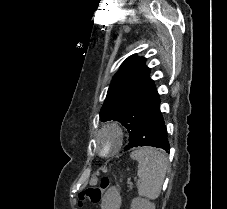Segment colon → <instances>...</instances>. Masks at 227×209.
Returning a JSON list of instances; mask_svg holds the SVG:
<instances>
[{"label":"colon","instance_id":"obj_1","mask_svg":"<svg viewBox=\"0 0 227 209\" xmlns=\"http://www.w3.org/2000/svg\"><path fill=\"white\" fill-rule=\"evenodd\" d=\"M109 185H110V180L104 179L102 180L100 186L90 187L80 192L78 195L79 204H82L85 202H90L92 204L99 203L102 198L103 191L108 189Z\"/></svg>","mask_w":227,"mask_h":209}]
</instances>
